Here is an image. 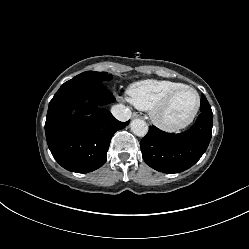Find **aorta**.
I'll return each instance as SVG.
<instances>
[{
	"mask_svg": "<svg viewBox=\"0 0 249 249\" xmlns=\"http://www.w3.org/2000/svg\"><path fill=\"white\" fill-rule=\"evenodd\" d=\"M130 128L131 131L139 136V137H143L147 134L148 132V125L147 123L142 120V119H134L131 123H130Z\"/></svg>",
	"mask_w": 249,
	"mask_h": 249,
	"instance_id": "obj_1",
	"label": "aorta"
}]
</instances>
